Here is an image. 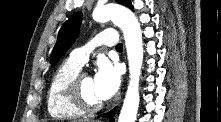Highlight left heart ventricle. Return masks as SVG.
Returning a JSON list of instances; mask_svg holds the SVG:
<instances>
[{
  "label": "left heart ventricle",
  "mask_w": 221,
  "mask_h": 122,
  "mask_svg": "<svg viewBox=\"0 0 221 122\" xmlns=\"http://www.w3.org/2000/svg\"><path fill=\"white\" fill-rule=\"evenodd\" d=\"M82 90L83 94L92 103H101L102 100L98 97L95 86L94 80L90 76H86L82 81Z\"/></svg>",
  "instance_id": "obj_1"
}]
</instances>
